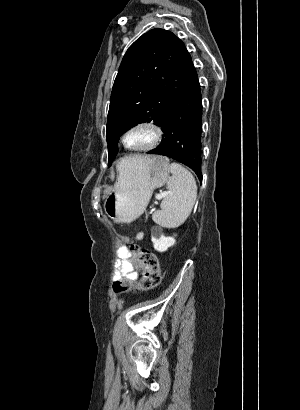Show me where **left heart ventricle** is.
Listing matches in <instances>:
<instances>
[{
	"mask_svg": "<svg viewBox=\"0 0 300 410\" xmlns=\"http://www.w3.org/2000/svg\"><path fill=\"white\" fill-rule=\"evenodd\" d=\"M152 140V133L146 129H139L131 132L126 137V144L130 147H141Z\"/></svg>",
	"mask_w": 300,
	"mask_h": 410,
	"instance_id": "obj_1",
	"label": "left heart ventricle"
}]
</instances>
